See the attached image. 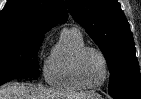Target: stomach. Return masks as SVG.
I'll use <instances>...</instances> for the list:
<instances>
[{"label":"stomach","mask_w":141,"mask_h":99,"mask_svg":"<svg viewBox=\"0 0 141 99\" xmlns=\"http://www.w3.org/2000/svg\"><path fill=\"white\" fill-rule=\"evenodd\" d=\"M86 99H101L99 98L96 94L95 95H91L89 98Z\"/></svg>","instance_id":"0dacf381"}]
</instances>
